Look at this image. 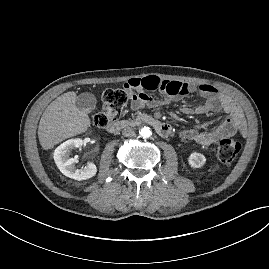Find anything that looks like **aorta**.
<instances>
[{
  "label": "aorta",
  "instance_id": "762f6f07",
  "mask_svg": "<svg viewBox=\"0 0 269 269\" xmlns=\"http://www.w3.org/2000/svg\"><path fill=\"white\" fill-rule=\"evenodd\" d=\"M139 134L142 138H149L152 134L151 130L149 127H143L141 128V130L139 131Z\"/></svg>",
  "mask_w": 269,
  "mask_h": 269
}]
</instances>
